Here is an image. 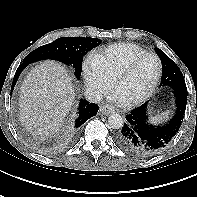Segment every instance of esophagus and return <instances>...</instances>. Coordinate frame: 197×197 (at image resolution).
Listing matches in <instances>:
<instances>
[{
	"label": "esophagus",
	"mask_w": 197,
	"mask_h": 197,
	"mask_svg": "<svg viewBox=\"0 0 197 197\" xmlns=\"http://www.w3.org/2000/svg\"><path fill=\"white\" fill-rule=\"evenodd\" d=\"M113 111H114V109L109 105H102L100 107V112L104 115H108V114L112 113Z\"/></svg>",
	"instance_id": "obj_1"
}]
</instances>
